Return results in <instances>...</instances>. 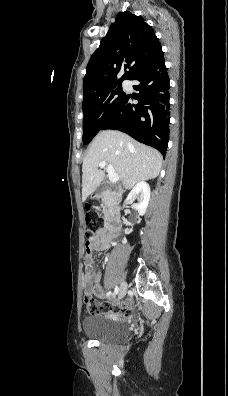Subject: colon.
<instances>
[{
  "label": "colon",
  "instance_id": "1",
  "mask_svg": "<svg viewBox=\"0 0 228 396\" xmlns=\"http://www.w3.org/2000/svg\"><path fill=\"white\" fill-rule=\"evenodd\" d=\"M103 220L97 213H88L86 216V236L90 239L97 229L102 228ZM87 239V240H88ZM85 305L88 313L91 315L101 314L111 318L119 316L128 317L129 310L124 307L116 306L110 302H100L94 299L90 294L85 296Z\"/></svg>",
  "mask_w": 228,
  "mask_h": 396
}]
</instances>
